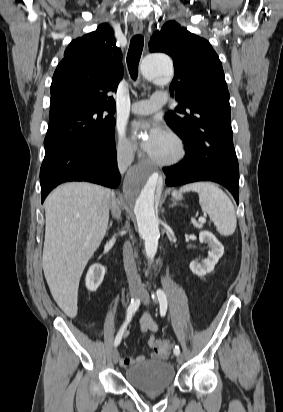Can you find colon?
Returning a JSON list of instances; mask_svg holds the SVG:
<instances>
[{
  "instance_id": "colon-1",
  "label": "colon",
  "mask_w": 283,
  "mask_h": 412,
  "mask_svg": "<svg viewBox=\"0 0 283 412\" xmlns=\"http://www.w3.org/2000/svg\"><path fill=\"white\" fill-rule=\"evenodd\" d=\"M173 348L171 341L167 339H160L155 342V352L159 357H167Z\"/></svg>"
}]
</instances>
